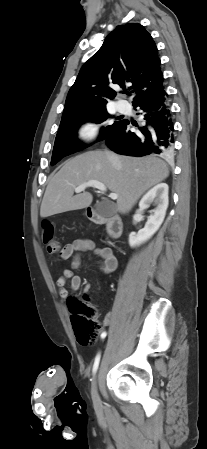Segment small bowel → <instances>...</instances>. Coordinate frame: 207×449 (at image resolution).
<instances>
[{
	"label": "small bowel",
	"mask_w": 207,
	"mask_h": 449,
	"mask_svg": "<svg viewBox=\"0 0 207 449\" xmlns=\"http://www.w3.org/2000/svg\"><path fill=\"white\" fill-rule=\"evenodd\" d=\"M92 251L96 257V263L105 274H111L117 268L118 262L113 252L108 247H97L95 243L87 238H78L73 242L66 244L61 248L59 257L61 259H68L72 257L70 268H66L62 271V274L56 281L59 296L62 300L66 301L69 298L70 291L67 288V282H70L71 291L79 290L81 286V278L74 274L81 265V255L84 252ZM85 291L89 292L90 287L86 286ZM102 322L105 326L110 325L111 315L106 314Z\"/></svg>",
	"instance_id": "obj_1"
}]
</instances>
